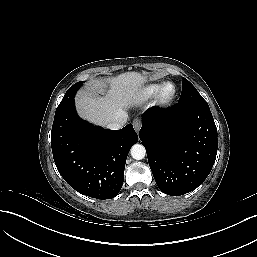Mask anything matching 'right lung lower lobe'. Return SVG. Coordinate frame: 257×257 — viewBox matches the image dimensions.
<instances>
[{"label": "right lung lower lobe", "mask_w": 257, "mask_h": 257, "mask_svg": "<svg viewBox=\"0 0 257 257\" xmlns=\"http://www.w3.org/2000/svg\"><path fill=\"white\" fill-rule=\"evenodd\" d=\"M138 141L132 124L108 130L80 119L74 102L55 113L51 147L60 175L77 192L114 198L124 181L128 152Z\"/></svg>", "instance_id": "1"}]
</instances>
